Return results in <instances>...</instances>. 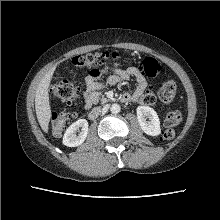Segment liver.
<instances>
[{
	"mask_svg": "<svg viewBox=\"0 0 220 220\" xmlns=\"http://www.w3.org/2000/svg\"><path fill=\"white\" fill-rule=\"evenodd\" d=\"M55 67L50 69L40 80L35 94V110L38 122L42 130L47 133L51 118V106L49 102V86Z\"/></svg>",
	"mask_w": 220,
	"mask_h": 220,
	"instance_id": "6515ba94",
	"label": "liver"
}]
</instances>
